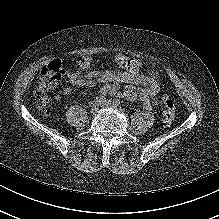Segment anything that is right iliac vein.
I'll list each match as a JSON object with an SVG mask.
<instances>
[{"label": "right iliac vein", "mask_w": 219, "mask_h": 219, "mask_svg": "<svg viewBox=\"0 0 219 219\" xmlns=\"http://www.w3.org/2000/svg\"><path fill=\"white\" fill-rule=\"evenodd\" d=\"M98 112V107L97 106H93L90 110V114L95 115Z\"/></svg>", "instance_id": "63e3f726"}]
</instances>
